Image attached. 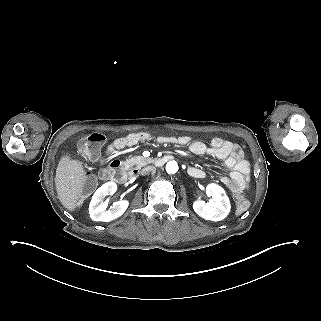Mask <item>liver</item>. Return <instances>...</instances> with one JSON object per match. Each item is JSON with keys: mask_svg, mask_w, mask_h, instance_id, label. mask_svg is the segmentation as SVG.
Wrapping results in <instances>:
<instances>
[{"mask_svg": "<svg viewBox=\"0 0 321 321\" xmlns=\"http://www.w3.org/2000/svg\"><path fill=\"white\" fill-rule=\"evenodd\" d=\"M87 180L82 162L69 156L60 159L56 169L55 184L61 204L69 211L76 208V203L83 193Z\"/></svg>", "mask_w": 321, "mask_h": 321, "instance_id": "6515ba94", "label": "liver"}]
</instances>
